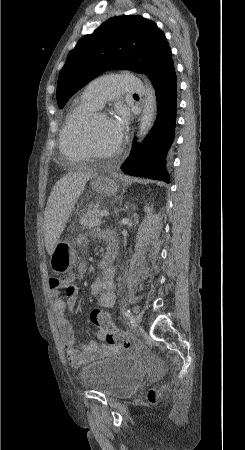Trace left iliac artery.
Wrapping results in <instances>:
<instances>
[{
    "mask_svg": "<svg viewBox=\"0 0 245 450\" xmlns=\"http://www.w3.org/2000/svg\"><path fill=\"white\" fill-rule=\"evenodd\" d=\"M124 315H125L126 318H128L132 322V314H131L130 310H128V309L125 310L124 311Z\"/></svg>",
    "mask_w": 245,
    "mask_h": 450,
    "instance_id": "1",
    "label": "left iliac artery"
}]
</instances>
